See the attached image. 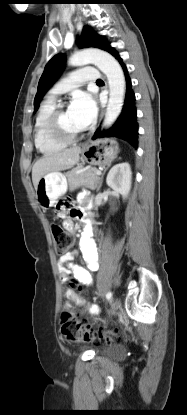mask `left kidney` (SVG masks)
<instances>
[{
    "instance_id": "1",
    "label": "left kidney",
    "mask_w": 187,
    "mask_h": 415,
    "mask_svg": "<svg viewBox=\"0 0 187 415\" xmlns=\"http://www.w3.org/2000/svg\"><path fill=\"white\" fill-rule=\"evenodd\" d=\"M131 176L132 172L129 163H119L110 169L106 183L125 199L128 197L131 189Z\"/></svg>"
}]
</instances>
